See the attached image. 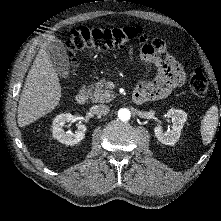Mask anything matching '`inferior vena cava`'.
<instances>
[{
	"mask_svg": "<svg viewBox=\"0 0 221 221\" xmlns=\"http://www.w3.org/2000/svg\"><path fill=\"white\" fill-rule=\"evenodd\" d=\"M93 111L97 115H106L109 113L110 109H109V106L107 105L99 104V105L93 106Z\"/></svg>",
	"mask_w": 221,
	"mask_h": 221,
	"instance_id": "602c4592",
	"label": "inferior vena cava"
}]
</instances>
